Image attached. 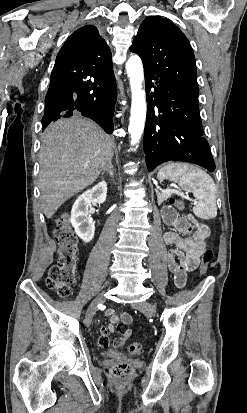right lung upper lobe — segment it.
I'll list each match as a JSON object with an SVG mask.
<instances>
[{"label":"right lung upper lobe","mask_w":247,"mask_h":413,"mask_svg":"<svg viewBox=\"0 0 247 413\" xmlns=\"http://www.w3.org/2000/svg\"><path fill=\"white\" fill-rule=\"evenodd\" d=\"M111 51L93 25H85L66 40L60 49L54 71L97 74L111 71Z\"/></svg>","instance_id":"1"}]
</instances>
